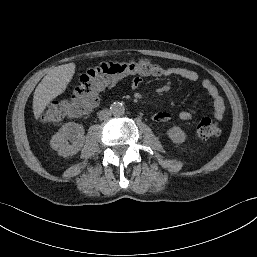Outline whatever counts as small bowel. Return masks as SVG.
Segmentation results:
<instances>
[{
    "label": "small bowel",
    "instance_id": "1",
    "mask_svg": "<svg viewBox=\"0 0 257 257\" xmlns=\"http://www.w3.org/2000/svg\"><path fill=\"white\" fill-rule=\"evenodd\" d=\"M162 76L164 77H177L189 82H200L202 88L207 92L212 100L213 104V115L217 119L223 117L225 111V104L222 96L220 95L216 86L208 79L200 80L199 74L191 69L184 67H168L162 71ZM141 82L138 78L131 81V86L133 88H138ZM195 117V112L191 109L183 110L179 113V119L182 121H189ZM150 118L153 121L165 123L171 118L170 114L165 111L151 112Z\"/></svg>",
    "mask_w": 257,
    "mask_h": 257
}]
</instances>
